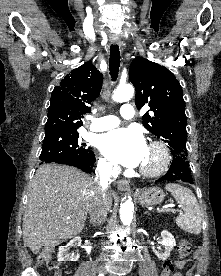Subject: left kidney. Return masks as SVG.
Here are the masks:
<instances>
[{
    "mask_svg": "<svg viewBox=\"0 0 221 276\" xmlns=\"http://www.w3.org/2000/svg\"><path fill=\"white\" fill-rule=\"evenodd\" d=\"M161 237H162V244L165 247V251L164 252H158L155 249H153L155 255L165 261L169 256H170V252L172 251L173 247L176 246V241L174 239V236L166 230H163L161 232Z\"/></svg>",
    "mask_w": 221,
    "mask_h": 276,
    "instance_id": "obj_1",
    "label": "left kidney"
}]
</instances>
